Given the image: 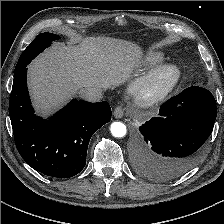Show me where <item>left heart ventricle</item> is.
<instances>
[{"label": "left heart ventricle", "mask_w": 224, "mask_h": 224, "mask_svg": "<svg viewBox=\"0 0 224 224\" xmlns=\"http://www.w3.org/2000/svg\"><path fill=\"white\" fill-rule=\"evenodd\" d=\"M165 81V78H161L158 82V85H161Z\"/></svg>", "instance_id": "1"}]
</instances>
